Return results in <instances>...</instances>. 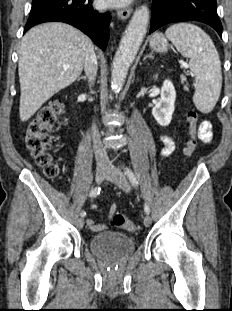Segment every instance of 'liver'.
Masks as SVG:
<instances>
[{
  "instance_id": "liver-1",
  "label": "liver",
  "mask_w": 232,
  "mask_h": 311,
  "mask_svg": "<svg viewBox=\"0 0 232 311\" xmlns=\"http://www.w3.org/2000/svg\"><path fill=\"white\" fill-rule=\"evenodd\" d=\"M90 45L85 34L65 23L39 25L24 35L18 61L22 122L80 76Z\"/></svg>"
}]
</instances>
